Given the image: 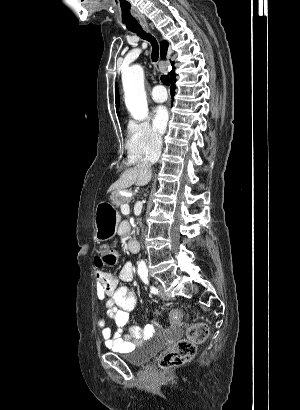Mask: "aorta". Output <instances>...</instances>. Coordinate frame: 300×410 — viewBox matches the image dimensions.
Here are the masks:
<instances>
[{"instance_id":"762f6f07","label":"aorta","mask_w":300,"mask_h":410,"mask_svg":"<svg viewBox=\"0 0 300 410\" xmlns=\"http://www.w3.org/2000/svg\"><path fill=\"white\" fill-rule=\"evenodd\" d=\"M125 104L136 120H144L148 116V105L144 89V70L141 65H133L122 73ZM138 270L146 271L144 260L138 262Z\"/></svg>"}]
</instances>
